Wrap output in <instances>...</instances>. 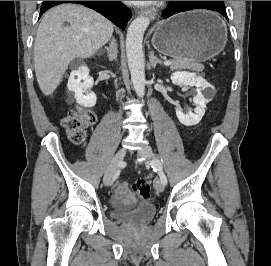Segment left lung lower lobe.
<instances>
[{
	"mask_svg": "<svg viewBox=\"0 0 271 266\" xmlns=\"http://www.w3.org/2000/svg\"><path fill=\"white\" fill-rule=\"evenodd\" d=\"M193 9H208L216 11L228 19L226 9L219 8L214 5L204 4L202 1H171L168 3L166 9L162 12V17L166 19L179 12H185Z\"/></svg>",
	"mask_w": 271,
	"mask_h": 266,
	"instance_id": "left-lung-lower-lobe-1",
	"label": "left lung lower lobe"
}]
</instances>
